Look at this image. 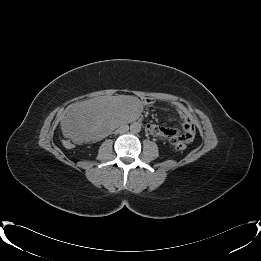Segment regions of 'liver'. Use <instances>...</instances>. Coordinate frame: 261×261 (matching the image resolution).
I'll return each instance as SVG.
<instances>
[{"label": "liver", "mask_w": 261, "mask_h": 261, "mask_svg": "<svg viewBox=\"0 0 261 261\" xmlns=\"http://www.w3.org/2000/svg\"><path fill=\"white\" fill-rule=\"evenodd\" d=\"M141 103L133 96L98 97L78 102L61 122L66 138L82 142L114 129L118 121L131 123L140 112Z\"/></svg>", "instance_id": "6515ba94"}]
</instances>
